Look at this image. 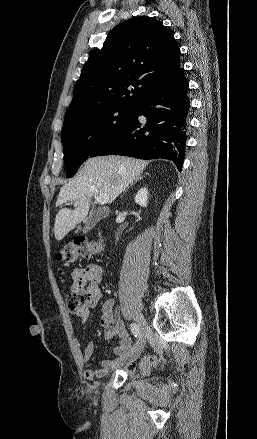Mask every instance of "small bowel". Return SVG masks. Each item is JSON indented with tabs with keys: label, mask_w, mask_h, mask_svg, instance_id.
Returning <instances> with one entry per match:
<instances>
[{
	"label": "small bowel",
	"mask_w": 257,
	"mask_h": 439,
	"mask_svg": "<svg viewBox=\"0 0 257 439\" xmlns=\"http://www.w3.org/2000/svg\"><path fill=\"white\" fill-rule=\"evenodd\" d=\"M71 291L81 292L85 296L84 308L77 313L82 323H86L89 318V310L96 308L101 299L102 292L99 284L102 278L100 268L87 266L86 268H76L70 274ZM115 302L113 299L106 300L101 309L100 323L104 329L106 339L117 336L118 343L113 346L112 352L119 356L118 359L132 349L133 341L122 321H120L114 311ZM94 354V344L88 343L83 349V360L88 364ZM117 359V360H118ZM102 360L100 368L87 367L84 370V377L87 380H95L104 377L112 368L116 367V361Z\"/></svg>",
	"instance_id": "small-bowel-1"
}]
</instances>
